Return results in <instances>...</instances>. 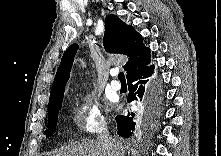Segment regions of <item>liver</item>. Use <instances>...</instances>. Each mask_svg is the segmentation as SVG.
<instances>
[{
    "label": "liver",
    "instance_id": "obj_1",
    "mask_svg": "<svg viewBox=\"0 0 221 156\" xmlns=\"http://www.w3.org/2000/svg\"><path fill=\"white\" fill-rule=\"evenodd\" d=\"M112 147H104L99 141H89L61 149L53 156H123L126 147L120 141L114 140Z\"/></svg>",
    "mask_w": 221,
    "mask_h": 156
}]
</instances>
